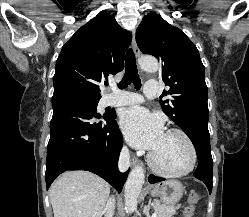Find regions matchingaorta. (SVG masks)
Listing matches in <instances>:
<instances>
[{
	"mask_svg": "<svg viewBox=\"0 0 249 217\" xmlns=\"http://www.w3.org/2000/svg\"><path fill=\"white\" fill-rule=\"evenodd\" d=\"M140 67L147 72H156L159 69V63L154 57H141L139 59ZM145 179V172L141 165L136 166L130 172L125 184V210L127 213H133L137 208V199L141 192Z\"/></svg>",
	"mask_w": 249,
	"mask_h": 217,
	"instance_id": "obj_1",
	"label": "aorta"
}]
</instances>
